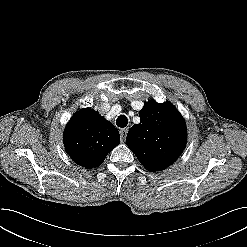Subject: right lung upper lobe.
<instances>
[{
  "instance_id": "obj_1",
  "label": "right lung upper lobe",
  "mask_w": 247,
  "mask_h": 247,
  "mask_svg": "<svg viewBox=\"0 0 247 247\" xmlns=\"http://www.w3.org/2000/svg\"><path fill=\"white\" fill-rule=\"evenodd\" d=\"M120 143L113 124L93 109L76 112L64 131V146L75 163L85 168L101 165L107 154Z\"/></svg>"
}]
</instances>
